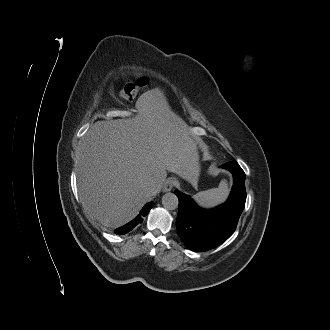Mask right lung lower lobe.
Instances as JSON below:
<instances>
[{
    "label": "right lung lower lobe",
    "mask_w": 330,
    "mask_h": 330,
    "mask_svg": "<svg viewBox=\"0 0 330 330\" xmlns=\"http://www.w3.org/2000/svg\"><path fill=\"white\" fill-rule=\"evenodd\" d=\"M153 202H148L144 205V207L141 209L140 214L137 215L135 219L130 221L129 223L125 224L124 226L117 228L115 230L116 234L123 235L131 231L138 223H142L143 217H145L149 210L152 208Z\"/></svg>",
    "instance_id": "1"
}]
</instances>
